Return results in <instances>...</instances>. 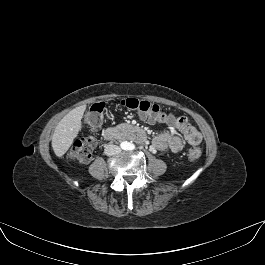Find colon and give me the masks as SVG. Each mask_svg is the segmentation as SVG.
<instances>
[{
  "instance_id": "colon-1",
  "label": "colon",
  "mask_w": 265,
  "mask_h": 265,
  "mask_svg": "<svg viewBox=\"0 0 265 265\" xmlns=\"http://www.w3.org/2000/svg\"><path fill=\"white\" fill-rule=\"evenodd\" d=\"M121 104L129 110L137 111L141 115H149L157 118H165L170 114L166 113L159 105L146 100L126 98ZM105 105L102 102L94 103L88 110L85 121L92 129L97 128L104 116ZM96 147V139L93 136L85 137L74 142L69 150V157L80 163H87L91 160ZM190 159H198L202 155V149L193 147L189 150Z\"/></svg>"
}]
</instances>
